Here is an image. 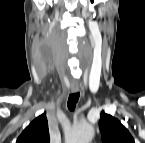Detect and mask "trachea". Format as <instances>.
I'll use <instances>...</instances> for the list:
<instances>
[{
  "mask_svg": "<svg viewBox=\"0 0 145 143\" xmlns=\"http://www.w3.org/2000/svg\"><path fill=\"white\" fill-rule=\"evenodd\" d=\"M79 100V93H72L69 95V98H68V109L70 111H74L75 110V107H76V104Z\"/></svg>",
  "mask_w": 145,
  "mask_h": 143,
  "instance_id": "3493384b",
  "label": "trachea"
}]
</instances>
